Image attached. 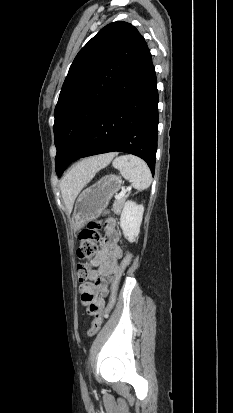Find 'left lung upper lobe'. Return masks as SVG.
Instances as JSON below:
<instances>
[{
    "mask_svg": "<svg viewBox=\"0 0 233 413\" xmlns=\"http://www.w3.org/2000/svg\"><path fill=\"white\" fill-rule=\"evenodd\" d=\"M144 41L134 26L117 21L102 28L75 57L54 112L59 177Z\"/></svg>",
    "mask_w": 233,
    "mask_h": 413,
    "instance_id": "left-lung-upper-lobe-1",
    "label": "left lung upper lobe"
}]
</instances>
